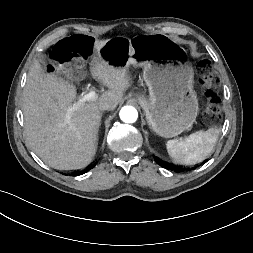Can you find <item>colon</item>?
<instances>
[{
    "instance_id": "5ec220e1",
    "label": "colon",
    "mask_w": 253,
    "mask_h": 253,
    "mask_svg": "<svg viewBox=\"0 0 253 253\" xmlns=\"http://www.w3.org/2000/svg\"><path fill=\"white\" fill-rule=\"evenodd\" d=\"M92 51V40L88 36L74 35L63 39L54 47L52 56L55 62L61 66L76 65L81 67L82 62ZM200 71V85L203 94L208 99V104L203 113L206 123L212 124L221 116L220 104L217 96L220 84L219 77L212 73L207 61L203 60L198 65Z\"/></svg>"
}]
</instances>
